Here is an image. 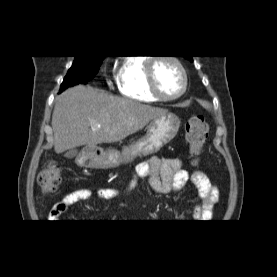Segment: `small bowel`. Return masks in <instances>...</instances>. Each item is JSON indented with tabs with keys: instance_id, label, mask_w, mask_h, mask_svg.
Returning <instances> with one entry per match:
<instances>
[{
	"instance_id": "obj_1",
	"label": "small bowel",
	"mask_w": 277,
	"mask_h": 277,
	"mask_svg": "<svg viewBox=\"0 0 277 277\" xmlns=\"http://www.w3.org/2000/svg\"><path fill=\"white\" fill-rule=\"evenodd\" d=\"M135 178H148L152 188L161 194L177 193L191 179L201 197V203L195 207V220L210 219L218 202V188L201 171H194L190 174L183 168V162L179 158L153 157L147 162L138 165L134 179L129 182L128 191L135 186ZM93 197L101 200L116 199L121 207H126L125 201L115 189L100 188L96 191L84 188L75 189L53 205L47 216L48 222H58L74 204L90 200Z\"/></svg>"
}]
</instances>
